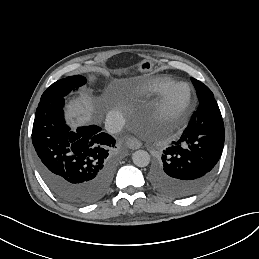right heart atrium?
Segmentation results:
<instances>
[{
	"mask_svg": "<svg viewBox=\"0 0 259 259\" xmlns=\"http://www.w3.org/2000/svg\"><path fill=\"white\" fill-rule=\"evenodd\" d=\"M132 104L125 97H118L113 99V112L112 114L118 116L122 120H126L128 113L131 110Z\"/></svg>",
	"mask_w": 259,
	"mask_h": 259,
	"instance_id": "d8ad5b80",
	"label": "right heart atrium"
}]
</instances>
